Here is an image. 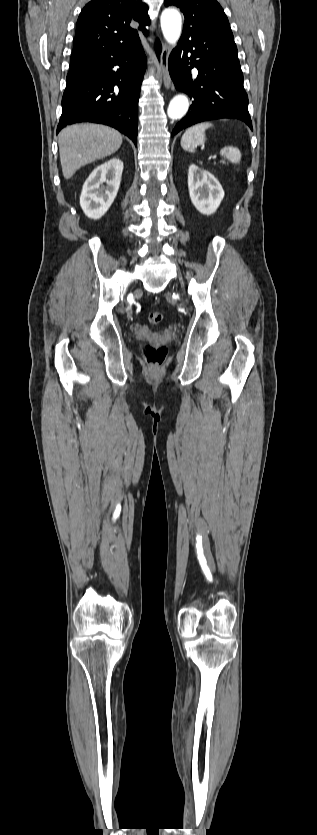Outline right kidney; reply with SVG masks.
<instances>
[{"mask_svg":"<svg viewBox=\"0 0 317 835\" xmlns=\"http://www.w3.org/2000/svg\"><path fill=\"white\" fill-rule=\"evenodd\" d=\"M122 171L123 162L115 157L98 165L91 172L80 196V206L86 216L99 219L108 211L117 196Z\"/></svg>","mask_w":317,"mask_h":835,"instance_id":"ca27d5eb","label":"right kidney"}]
</instances>
